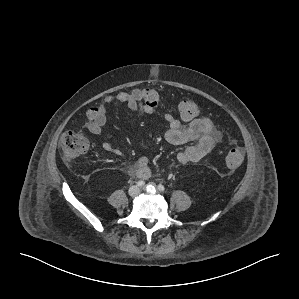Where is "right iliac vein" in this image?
Here are the masks:
<instances>
[{
	"mask_svg": "<svg viewBox=\"0 0 299 299\" xmlns=\"http://www.w3.org/2000/svg\"><path fill=\"white\" fill-rule=\"evenodd\" d=\"M128 193H129L130 197L135 198L139 195L140 189L137 186H132V187H130Z\"/></svg>",
	"mask_w": 299,
	"mask_h": 299,
	"instance_id": "1",
	"label": "right iliac vein"
}]
</instances>
